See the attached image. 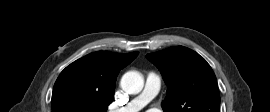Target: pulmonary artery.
<instances>
[{"label": "pulmonary artery", "mask_w": 270, "mask_h": 112, "mask_svg": "<svg viewBox=\"0 0 270 112\" xmlns=\"http://www.w3.org/2000/svg\"><path fill=\"white\" fill-rule=\"evenodd\" d=\"M161 76L155 72H149L143 91L126 106L112 110L111 112H138L149 103L159 92Z\"/></svg>", "instance_id": "pulmonary-artery-1"}]
</instances>
